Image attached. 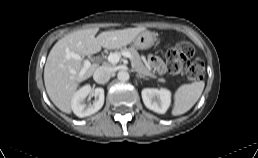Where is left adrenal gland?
<instances>
[{
	"label": "left adrenal gland",
	"mask_w": 258,
	"mask_h": 158,
	"mask_svg": "<svg viewBox=\"0 0 258 158\" xmlns=\"http://www.w3.org/2000/svg\"><path fill=\"white\" fill-rule=\"evenodd\" d=\"M136 77H137V78H144V79H147V78H145L144 76H142V75H140V74H136Z\"/></svg>",
	"instance_id": "obj_1"
}]
</instances>
